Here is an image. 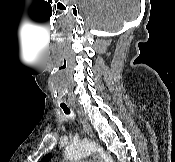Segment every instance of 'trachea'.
Here are the masks:
<instances>
[{
	"label": "trachea",
	"mask_w": 175,
	"mask_h": 162,
	"mask_svg": "<svg viewBox=\"0 0 175 162\" xmlns=\"http://www.w3.org/2000/svg\"><path fill=\"white\" fill-rule=\"evenodd\" d=\"M63 111L65 114L69 115L70 114V109L67 107H62Z\"/></svg>",
	"instance_id": "1"
}]
</instances>
